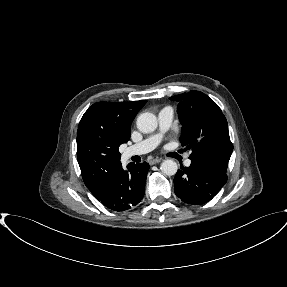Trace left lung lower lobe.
Here are the masks:
<instances>
[{
	"mask_svg": "<svg viewBox=\"0 0 287 287\" xmlns=\"http://www.w3.org/2000/svg\"><path fill=\"white\" fill-rule=\"evenodd\" d=\"M228 164L211 159H191L189 167L181 166L174 178V192L189 204L210 201L227 181Z\"/></svg>",
	"mask_w": 287,
	"mask_h": 287,
	"instance_id": "0a47b994",
	"label": "left lung lower lobe"
}]
</instances>
